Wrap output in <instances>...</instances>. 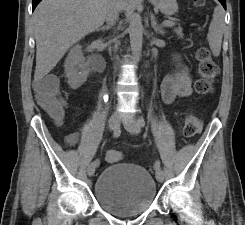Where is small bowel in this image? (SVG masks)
I'll list each match as a JSON object with an SVG mask.
<instances>
[{
  "label": "small bowel",
  "instance_id": "obj_1",
  "mask_svg": "<svg viewBox=\"0 0 245 225\" xmlns=\"http://www.w3.org/2000/svg\"><path fill=\"white\" fill-rule=\"evenodd\" d=\"M55 77L49 74L42 78L38 85L44 84L48 80H53ZM191 94V77L187 70L182 68L168 74L161 85L162 99L166 104L172 103L177 97H187ZM65 143L69 147H77L81 144L79 134L71 133L66 137ZM121 159V153L116 150H111L106 160L109 163H117Z\"/></svg>",
  "mask_w": 245,
  "mask_h": 225
}]
</instances>
